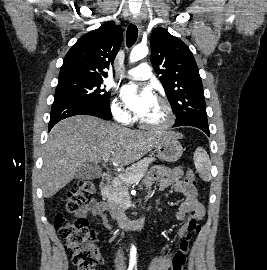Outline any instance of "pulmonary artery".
I'll return each instance as SVG.
<instances>
[{
  "label": "pulmonary artery",
  "instance_id": "1",
  "mask_svg": "<svg viewBox=\"0 0 267 270\" xmlns=\"http://www.w3.org/2000/svg\"><path fill=\"white\" fill-rule=\"evenodd\" d=\"M125 76L131 79L145 80L152 76V70L147 63H141L137 67L126 71Z\"/></svg>",
  "mask_w": 267,
  "mask_h": 270
}]
</instances>
